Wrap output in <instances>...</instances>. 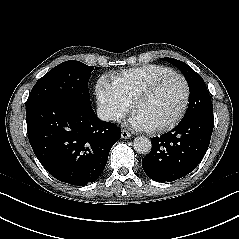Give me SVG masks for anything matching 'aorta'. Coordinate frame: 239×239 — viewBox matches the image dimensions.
I'll list each match as a JSON object with an SVG mask.
<instances>
[{
    "label": "aorta",
    "mask_w": 239,
    "mask_h": 239,
    "mask_svg": "<svg viewBox=\"0 0 239 239\" xmlns=\"http://www.w3.org/2000/svg\"><path fill=\"white\" fill-rule=\"evenodd\" d=\"M133 147L139 154H148L151 151L152 144L149 138L138 136L134 139Z\"/></svg>",
    "instance_id": "1"
}]
</instances>
